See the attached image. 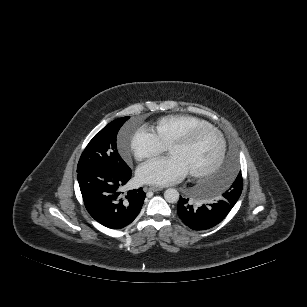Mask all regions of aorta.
Wrapping results in <instances>:
<instances>
[{
  "label": "aorta",
  "mask_w": 307,
  "mask_h": 307,
  "mask_svg": "<svg viewBox=\"0 0 307 307\" xmlns=\"http://www.w3.org/2000/svg\"><path fill=\"white\" fill-rule=\"evenodd\" d=\"M164 199L168 203H176L179 200V192L176 189H174V188H168L164 192Z\"/></svg>",
  "instance_id": "762f6f07"
}]
</instances>
